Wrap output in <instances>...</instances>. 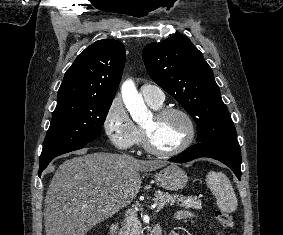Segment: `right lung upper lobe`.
<instances>
[{"instance_id": "cb5924a9", "label": "right lung upper lobe", "mask_w": 283, "mask_h": 235, "mask_svg": "<svg viewBox=\"0 0 283 235\" xmlns=\"http://www.w3.org/2000/svg\"><path fill=\"white\" fill-rule=\"evenodd\" d=\"M125 47L113 39L96 41L66 71L57 101L72 98H114L125 63Z\"/></svg>"}]
</instances>
